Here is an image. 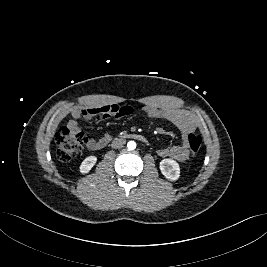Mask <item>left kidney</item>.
<instances>
[{
	"instance_id": "left-kidney-1",
	"label": "left kidney",
	"mask_w": 267,
	"mask_h": 267,
	"mask_svg": "<svg viewBox=\"0 0 267 267\" xmlns=\"http://www.w3.org/2000/svg\"><path fill=\"white\" fill-rule=\"evenodd\" d=\"M160 171L168 180L171 181H176L180 177L179 164L170 158L161 160Z\"/></svg>"
}]
</instances>
